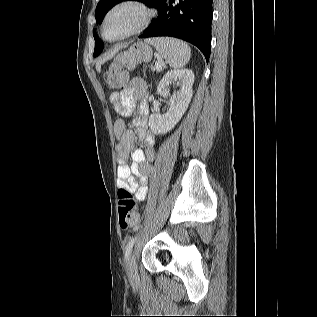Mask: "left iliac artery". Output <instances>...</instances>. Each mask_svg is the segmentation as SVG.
I'll use <instances>...</instances> for the list:
<instances>
[{
  "instance_id": "1",
  "label": "left iliac artery",
  "mask_w": 317,
  "mask_h": 317,
  "mask_svg": "<svg viewBox=\"0 0 317 317\" xmlns=\"http://www.w3.org/2000/svg\"><path fill=\"white\" fill-rule=\"evenodd\" d=\"M135 241H136V237H133V238H131L130 241L127 243V245H126V250H125V259H127L128 256L130 255V252H131V250H132V247H133Z\"/></svg>"
}]
</instances>
